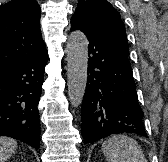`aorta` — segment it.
Masks as SVG:
<instances>
[{
	"label": "aorta",
	"instance_id": "obj_1",
	"mask_svg": "<svg viewBox=\"0 0 168 162\" xmlns=\"http://www.w3.org/2000/svg\"><path fill=\"white\" fill-rule=\"evenodd\" d=\"M68 95L73 107L83 100L88 69V41L81 31H73L67 41Z\"/></svg>",
	"mask_w": 168,
	"mask_h": 162
}]
</instances>
